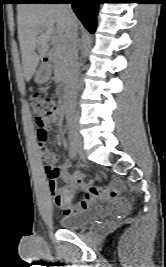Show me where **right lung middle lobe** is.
<instances>
[{"mask_svg": "<svg viewBox=\"0 0 166 267\" xmlns=\"http://www.w3.org/2000/svg\"><path fill=\"white\" fill-rule=\"evenodd\" d=\"M31 0H18V2H29Z\"/></svg>", "mask_w": 166, "mask_h": 267, "instance_id": "dd1d6c3e", "label": "right lung middle lobe"}]
</instances>
